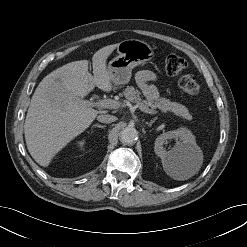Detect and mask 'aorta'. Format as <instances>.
Wrapping results in <instances>:
<instances>
[{
  "mask_svg": "<svg viewBox=\"0 0 247 247\" xmlns=\"http://www.w3.org/2000/svg\"><path fill=\"white\" fill-rule=\"evenodd\" d=\"M138 138V131L133 127H126L120 133V141L124 144H133Z\"/></svg>",
  "mask_w": 247,
  "mask_h": 247,
  "instance_id": "obj_1",
  "label": "aorta"
}]
</instances>
